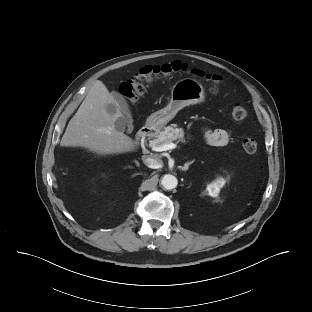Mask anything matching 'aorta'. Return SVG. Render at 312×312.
Masks as SVG:
<instances>
[{
	"label": "aorta",
	"instance_id": "1",
	"mask_svg": "<svg viewBox=\"0 0 312 312\" xmlns=\"http://www.w3.org/2000/svg\"><path fill=\"white\" fill-rule=\"evenodd\" d=\"M161 184L164 187V189L171 190L177 186L178 181L175 176L171 174H166L163 176Z\"/></svg>",
	"mask_w": 312,
	"mask_h": 312
}]
</instances>
